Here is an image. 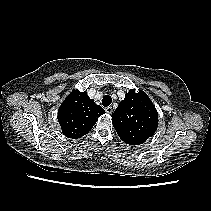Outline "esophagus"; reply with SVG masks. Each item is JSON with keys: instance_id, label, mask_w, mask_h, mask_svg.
Segmentation results:
<instances>
[{"instance_id": "34e87169", "label": "esophagus", "mask_w": 211, "mask_h": 211, "mask_svg": "<svg viewBox=\"0 0 211 211\" xmlns=\"http://www.w3.org/2000/svg\"><path fill=\"white\" fill-rule=\"evenodd\" d=\"M105 111H106L108 114H112L113 109H112L111 106H108V107L105 108Z\"/></svg>"}]
</instances>
